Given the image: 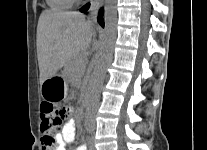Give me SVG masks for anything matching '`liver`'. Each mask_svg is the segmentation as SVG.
<instances>
[{"label":"liver","instance_id":"obj_1","mask_svg":"<svg viewBox=\"0 0 207 150\" xmlns=\"http://www.w3.org/2000/svg\"><path fill=\"white\" fill-rule=\"evenodd\" d=\"M94 35L91 23L83 14L44 11L37 26L40 83L55 76L74 57L85 52Z\"/></svg>","mask_w":207,"mask_h":150}]
</instances>
